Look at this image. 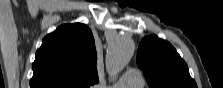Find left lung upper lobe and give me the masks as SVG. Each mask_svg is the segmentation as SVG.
I'll return each mask as SVG.
<instances>
[{
    "label": "left lung upper lobe",
    "instance_id": "5c2ea615",
    "mask_svg": "<svg viewBox=\"0 0 223 88\" xmlns=\"http://www.w3.org/2000/svg\"><path fill=\"white\" fill-rule=\"evenodd\" d=\"M137 63L149 88H197L187 64L175 48L157 36L143 38L138 47Z\"/></svg>",
    "mask_w": 223,
    "mask_h": 88
}]
</instances>
